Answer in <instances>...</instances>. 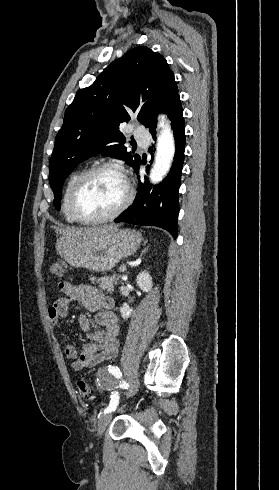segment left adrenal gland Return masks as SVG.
Returning <instances> with one entry per match:
<instances>
[{"mask_svg":"<svg viewBox=\"0 0 279 490\" xmlns=\"http://www.w3.org/2000/svg\"><path fill=\"white\" fill-rule=\"evenodd\" d=\"M148 248H149V246H147V248H144V250H142V252L140 254V258H141V256H143V254H145V252H147Z\"/></svg>","mask_w":279,"mask_h":490,"instance_id":"obj_1","label":"left adrenal gland"}]
</instances>
